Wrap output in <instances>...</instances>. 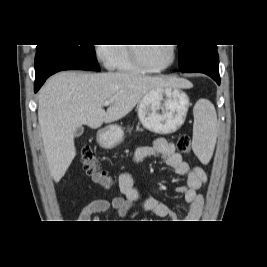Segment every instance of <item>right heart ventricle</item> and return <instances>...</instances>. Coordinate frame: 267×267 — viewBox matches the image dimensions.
Listing matches in <instances>:
<instances>
[{
    "label": "right heart ventricle",
    "instance_id": "right-heart-ventricle-1",
    "mask_svg": "<svg viewBox=\"0 0 267 267\" xmlns=\"http://www.w3.org/2000/svg\"><path fill=\"white\" fill-rule=\"evenodd\" d=\"M114 69L122 72H140L138 68L131 60L129 54V48L126 46H115L114 56L112 61Z\"/></svg>",
    "mask_w": 267,
    "mask_h": 267
}]
</instances>
